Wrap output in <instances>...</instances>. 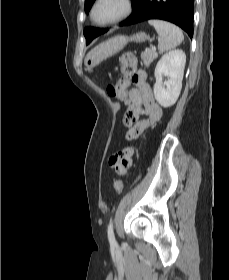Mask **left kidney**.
Instances as JSON below:
<instances>
[{"label":"left kidney","mask_w":229,"mask_h":280,"mask_svg":"<svg viewBox=\"0 0 229 280\" xmlns=\"http://www.w3.org/2000/svg\"><path fill=\"white\" fill-rule=\"evenodd\" d=\"M185 63L186 55L180 49L167 52L158 61L153 90L156 101L162 107L167 108L176 103L182 88ZM163 77H167V80L163 81Z\"/></svg>","instance_id":"obj_1"}]
</instances>
